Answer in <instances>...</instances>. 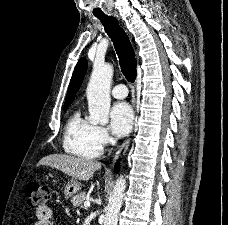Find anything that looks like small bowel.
Masks as SVG:
<instances>
[{"instance_id":"1","label":"small bowel","mask_w":228,"mask_h":225,"mask_svg":"<svg viewBox=\"0 0 228 225\" xmlns=\"http://www.w3.org/2000/svg\"><path fill=\"white\" fill-rule=\"evenodd\" d=\"M51 209L47 206L36 211L37 221L35 225H53L51 221Z\"/></svg>"}]
</instances>
